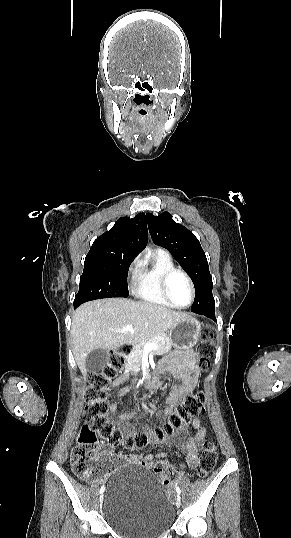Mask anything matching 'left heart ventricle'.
<instances>
[{
	"instance_id": "left-heart-ventricle-1",
	"label": "left heart ventricle",
	"mask_w": 291,
	"mask_h": 538,
	"mask_svg": "<svg viewBox=\"0 0 291 538\" xmlns=\"http://www.w3.org/2000/svg\"><path fill=\"white\" fill-rule=\"evenodd\" d=\"M169 293L172 300L178 305H186L190 300V288L181 274H175L169 282Z\"/></svg>"
}]
</instances>
